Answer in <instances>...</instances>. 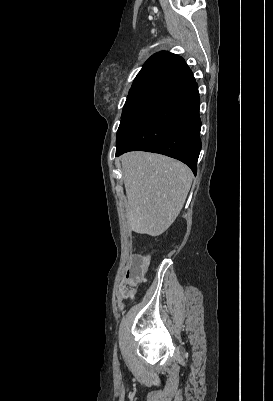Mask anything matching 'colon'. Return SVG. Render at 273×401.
Masks as SVG:
<instances>
[{
    "label": "colon",
    "instance_id": "5ec220e1",
    "mask_svg": "<svg viewBox=\"0 0 273 401\" xmlns=\"http://www.w3.org/2000/svg\"><path fill=\"white\" fill-rule=\"evenodd\" d=\"M127 263L131 266L129 274H127L126 278L120 280V285L129 288H119L117 291L119 297H129L132 293H138L140 290L139 282L148 273L146 268L148 265L147 257H130Z\"/></svg>",
    "mask_w": 273,
    "mask_h": 401
}]
</instances>
